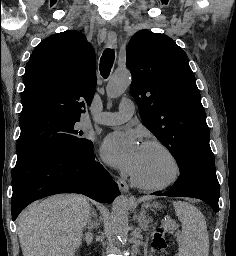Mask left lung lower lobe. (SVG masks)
Segmentation results:
<instances>
[{"label": "left lung lower lobe", "mask_w": 236, "mask_h": 256, "mask_svg": "<svg viewBox=\"0 0 236 256\" xmlns=\"http://www.w3.org/2000/svg\"><path fill=\"white\" fill-rule=\"evenodd\" d=\"M153 195L198 198L209 204L215 212L219 211L220 185L213 168L189 167L180 172L179 178L168 191H157Z\"/></svg>", "instance_id": "obj_1"}]
</instances>
